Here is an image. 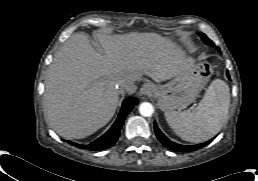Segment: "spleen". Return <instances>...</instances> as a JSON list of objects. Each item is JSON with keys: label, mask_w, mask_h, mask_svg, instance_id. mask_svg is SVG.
Returning <instances> with one entry per match:
<instances>
[{"label": "spleen", "mask_w": 258, "mask_h": 181, "mask_svg": "<svg viewBox=\"0 0 258 181\" xmlns=\"http://www.w3.org/2000/svg\"><path fill=\"white\" fill-rule=\"evenodd\" d=\"M229 106L228 85L223 80L215 79L194 110L167 111L165 118L179 137L197 143L210 139L221 130L227 119Z\"/></svg>", "instance_id": "obj_1"}]
</instances>
